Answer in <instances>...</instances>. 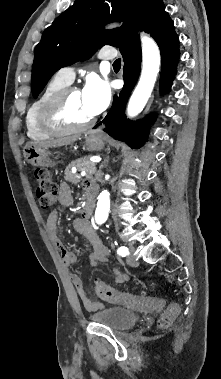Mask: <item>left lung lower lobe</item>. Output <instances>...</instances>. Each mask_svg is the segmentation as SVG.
Here are the masks:
<instances>
[{
    "mask_svg": "<svg viewBox=\"0 0 221 379\" xmlns=\"http://www.w3.org/2000/svg\"><path fill=\"white\" fill-rule=\"evenodd\" d=\"M142 30L155 39L161 52L160 89L167 91L176 74V65L180 57L179 39L174 23L165 11L163 2L156 4ZM124 59V87L119 97L115 96L113 105L103 120L105 131L112 137L125 141L132 148H140L145 141L149 125L144 121H130L124 114L129 95L140 73L141 45L137 33L125 38L118 47ZM153 122V118L148 120ZM100 122L98 125H100ZM97 125V126H98ZM95 126V127H97Z\"/></svg>",
    "mask_w": 221,
    "mask_h": 379,
    "instance_id": "1",
    "label": "left lung lower lobe"
}]
</instances>
